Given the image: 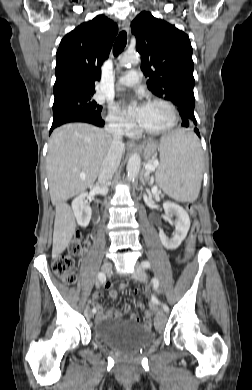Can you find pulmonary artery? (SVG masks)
<instances>
[{"label": "pulmonary artery", "mask_w": 252, "mask_h": 390, "mask_svg": "<svg viewBox=\"0 0 252 390\" xmlns=\"http://www.w3.org/2000/svg\"><path fill=\"white\" fill-rule=\"evenodd\" d=\"M140 72L136 69L130 70L126 72L123 76H121L117 81V87H132L136 85L140 81Z\"/></svg>", "instance_id": "e3ab8cb5"}]
</instances>
